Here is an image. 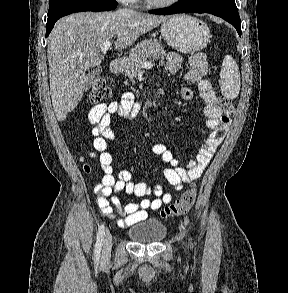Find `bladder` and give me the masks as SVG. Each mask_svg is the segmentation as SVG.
I'll return each mask as SVG.
<instances>
[{"instance_id": "1", "label": "bladder", "mask_w": 288, "mask_h": 293, "mask_svg": "<svg viewBox=\"0 0 288 293\" xmlns=\"http://www.w3.org/2000/svg\"><path fill=\"white\" fill-rule=\"evenodd\" d=\"M128 237L138 243H155L166 235V227L155 219H150L132 226L128 230Z\"/></svg>"}]
</instances>
